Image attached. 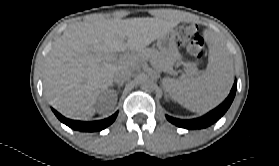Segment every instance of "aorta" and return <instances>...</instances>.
Segmentation results:
<instances>
[{"label": "aorta", "instance_id": "obj_1", "mask_svg": "<svg viewBox=\"0 0 279 166\" xmlns=\"http://www.w3.org/2000/svg\"><path fill=\"white\" fill-rule=\"evenodd\" d=\"M154 88V82L149 78H144L141 81V89L145 91H151Z\"/></svg>", "mask_w": 279, "mask_h": 166}]
</instances>
